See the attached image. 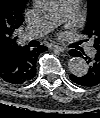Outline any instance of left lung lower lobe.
Returning a JSON list of instances; mask_svg holds the SVG:
<instances>
[{
	"instance_id": "obj_1",
	"label": "left lung lower lobe",
	"mask_w": 100,
	"mask_h": 118,
	"mask_svg": "<svg viewBox=\"0 0 100 118\" xmlns=\"http://www.w3.org/2000/svg\"><path fill=\"white\" fill-rule=\"evenodd\" d=\"M72 56H81V53L72 50L70 52ZM88 57H85L87 59ZM88 63H90L89 71L84 76L70 75V79L81 86H95L100 84V52H97L93 59L89 58Z\"/></svg>"
}]
</instances>
